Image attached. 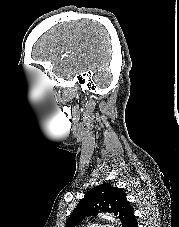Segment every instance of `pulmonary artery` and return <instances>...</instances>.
I'll use <instances>...</instances> for the list:
<instances>
[{
    "label": "pulmonary artery",
    "mask_w": 179,
    "mask_h": 227,
    "mask_svg": "<svg viewBox=\"0 0 179 227\" xmlns=\"http://www.w3.org/2000/svg\"><path fill=\"white\" fill-rule=\"evenodd\" d=\"M88 227H113V226L109 224H93Z\"/></svg>",
    "instance_id": "1"
}]
</instances>
